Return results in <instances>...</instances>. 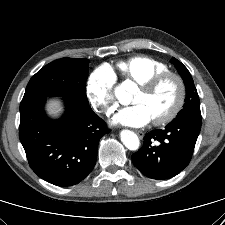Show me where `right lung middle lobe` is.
I'll return each mask as SVG.
<instances>
[{
	"instance_id": "obj_1",
	"label": "right lung middle lobe",
	"mask_w": 225,
	"mask_h": 225,
	"mask_svg": "<svg viewBox=\"0 0 225 225\" xmlns=\"http://www.w3.org/2000/svg\"><path fill=\"white\" fill-rule=\"evenodd\" d=\"M89 60L61 58L39 70L29 81L23 99L35 96H62L89 106L85 84Z\"/></svg>"
}]
</instances>
